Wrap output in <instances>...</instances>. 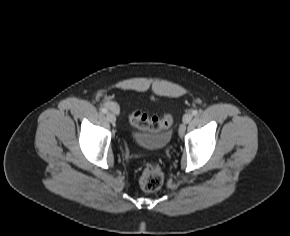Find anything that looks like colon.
Returning <instances> with one entry per match:
<instances>
[{"mask_svg": "<svg viewBox=\"0 0 290 236\" xmlns=\"http://www.w3.org/2000/svg\"><path fill=\"white\" fill-rule=\"evenodd\" d=\"M129 120L134 127L151 132L167 130L173 122L170 114H165L162 117H150L142 111H134ZM163 182L164 174L160 166L155 163L147 164L139 178L140 186L146 192L158 190L163 185Z\"/></svg>", "mask_w": 290, "mask_h": 236, "instance_id": "obj_1", "label": "colon"}]
</instances>
